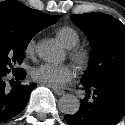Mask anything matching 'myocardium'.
Instances as JSON below:
<instances>
[{"instance_id": "1", "label": "myocardium", "mask_w": 125, "mask_h": 125, "mask_svg": "<svg viewBox=\"0 0 125 125\" xmlns=\"http://www.w3.org/2000/svg\"><path fill=\"white\" fill-rule=\"evenodd\" d=\"M69 56L79 68L85 67L90 57L88 50L80 46L70 48Z\"/></svg>"}]
</instances>
